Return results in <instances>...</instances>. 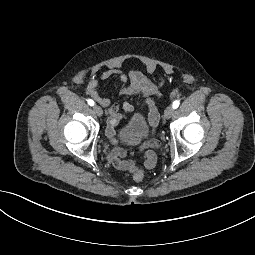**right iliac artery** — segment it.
<instances>
[{
  "label": "right iliac artery",
  "mask_w": 255,
  "mask_h": 255,
  "mask_svg": "<svg viewBox=\"0 0 255 255\" xmlns=\"http://www.w3.org/2000/svg\"><path fill=\"white\" fill-rule=\"evenodd\" d=\"M88 104H89L90 106H93V105H94V101H93L92 99H89V100H88Z\"/></svg>",
  "instance_id": "right-iliac-artery-1"
}]
</instances>
